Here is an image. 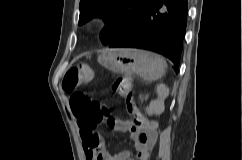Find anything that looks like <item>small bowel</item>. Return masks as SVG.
Instances as JSON below:
<instances>
[{"label":"small bowel","instance_id":"c3829d8e","mask_svg":"<svg viewBox=\"0 0 242 160\" xmlns=\"http://www.w3.org/2000/svg\"><path fill=\"white\" fill-rule=\"evenodd\" d=\"M77 123L80 128L85 160H148L157 139L155 123L141 113H137L132 120L110 118L107 122L110 128L117 132L129 133L135 141V154L125 150L111 156L106 150L105 142L98 134L97 140L91 146L88 145L84 135L88 130L81 125L78 117Z\"/></svg>","mask_w":242,"mask_h":160}]
</instances>
